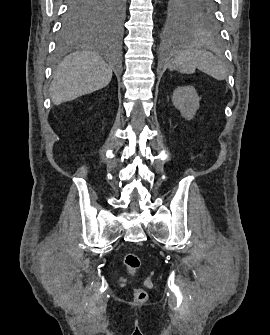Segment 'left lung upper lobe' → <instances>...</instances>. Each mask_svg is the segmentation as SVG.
<instances>
[{"instance_id": "1", "label": "left lung upper lobe", "mask_w": 270, "mask_h": 335, "mask_svg": "<svg viewBox=\"0 0 270 335\" xmlns=\"http://www.w3.org/2000/svg\"><path fill=\"white\" fill-rule=\"evenodd\" d=\"M162 16L169 29L215 34L219 24L214 0H162Z\"/></svg>"}]
</instances>
